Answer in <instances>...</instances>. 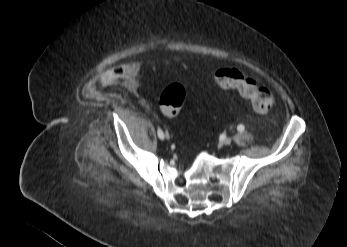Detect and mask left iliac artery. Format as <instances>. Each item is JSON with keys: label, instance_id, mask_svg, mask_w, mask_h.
<instances>
[{"label": "left iliac artery", "instance_id": "1", "mask_svg": "<svg viewBox=\"0 0 347 247\" xmlns=\"http://www.w3.org/2000/svg\"><path fill=\"white\" fill-rule=\"evenodd\" d=\"M237 130H238L239 132H243V131L245 130L244 125H242V124L238 125V126H237Z\"/></svg>", "mask_w": 347, "mask_h": 247}]
</instances>
